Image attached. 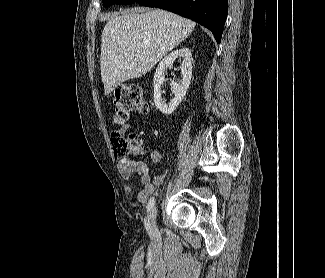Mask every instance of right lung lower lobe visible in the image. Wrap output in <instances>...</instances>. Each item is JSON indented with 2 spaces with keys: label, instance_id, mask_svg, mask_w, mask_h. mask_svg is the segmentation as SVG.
I'll list each match as a JSON object with an SVG mask.
<instances>
[{
  "label": "right lung lower lobe",
  "instance_id": "obj_1",
  "mask_svg": "<svg viewBox=\"0 0 325 278\" xmlns=\"http://www.w3.org/2000/svg\"><path fill=\"white\" fill-rule=\"evenodd\" d=\"M141 5L166 9L189 18L214 35L217 43L221 36L228 13V0H137Z\"/></svg>",
  "mask_w": 325,
  "mask_h": 278
}]
</instances>
